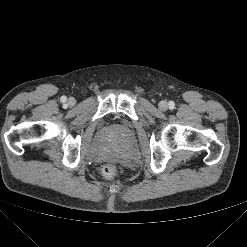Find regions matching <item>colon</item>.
I'll return each instance as SVG.
<instances>
[{
	"label": "colon",
	"instance_id": "obj_1",
	"mask_svg": "<svg viewBox=\"0 0 247 247\" xmlns=\"http://www.w3.org/2000/svg\"><path fill=\"white\" fill-rule=\"evenodd\" d=\"M102 175L107 179H113L117 175V168L113 164H106L102 167Z\"/></svg>",
	"mask_w": 247,
	"mask_h": 247
}]
</instances>
